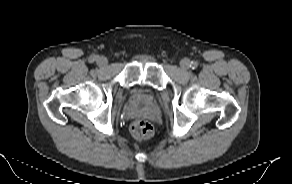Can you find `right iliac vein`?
<instances>
[{
    "mask_svg": "<svg viewBox=\"0 0 292 184\" xmlns=\"http://www.w3.org/2000/svg\"><path fill=\"white\" fill-rule=\"evenodd\" d=\"M108 63L107 59L105 57H99L97 58V64L99 66H106Z\"/></svg>",
    "mask_w": 292,
    "mask_h": 184,
    "instance_id": "63e3f726",
    "label": "right iliac vein"
}]
</instances>
